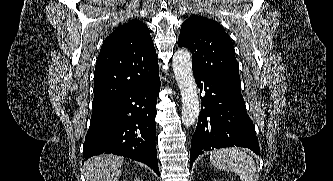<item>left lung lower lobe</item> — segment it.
Listing matches in <instances>:
<instances>
[{
  "instance_id": "obj_1",
  "label": "left lung lower lobe",
  "mask_w": 333,
  "mask_h": 181,
  "mask_svg": "<svg viewBox=\"0 0 333 181\" xmlns=\"http://www.w3.org/2000/svg\"><path fill=\"white\" fill-rule=\"evenodd\" d=\"M193 73L205 96L201 98L203 108L191 141V167L200 154L214 148L247 147L260 154L255 127L242 95L211 76L198 71Z\"/></svg>"
}]
</instances>
